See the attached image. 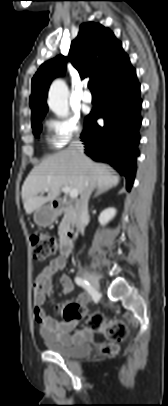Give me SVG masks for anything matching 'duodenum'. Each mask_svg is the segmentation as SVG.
Here are the masks:
<instances>
[{
	"label": "duodenum",
	"mask_w": 168,
	"mask_h": 406,
	"mask_svg": "<svg viewBox=\"0 0 168 406\" xmlns=\"http://www.w3.org/2000/svg\"><path fill=\"white\" fill-rule=\"evenodd\" d=\"M52 208L58 213L69 212L75 213L77 210V204L66 200H53ZM60 251L64 257L71 255L73 251V235L68 232L60 239Z\"/></svg>",
	"instance_id": "410a0bca"
}]
</instances>
